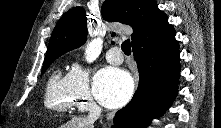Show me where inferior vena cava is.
Segmentation results:
<instances>
[{
	"instance_id": "602c4592",
	"label": "inferior vena cava",
	"mask_w": 221,
	"mask_h": 128,
	"mask_svg": "<svg viewBox=\"0 0 221 128\" xmlns=\"http://www.w3.org/2000/svg\"><path fill=\"white\" fill-rule=\"evenodd\" d=\"M100 114H101V108L98 105L93 104L89 108V114H88L87 118H88L89 121H93L94 122L95 120L98 119Z\"/></svg>"
}]
</instances>
